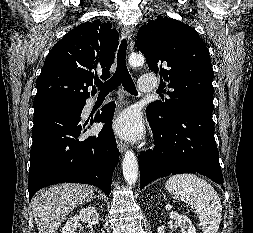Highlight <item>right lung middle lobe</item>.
Returning a JSON list of instances; mask_svg holds the SVG:
<instances>
[{
  "mask_svg": "<svg viewBox=\"0 0 253 233\" xmlns=\"http://www.w3.org/2000/svg\"><path fill=\"white\" fill-rule=\"evenodd\" d=\"M85 101H75V100H67V99H52L48 101H44L38 104H34V109L38 110L40 108H43L48 105L52 104H64V105H73V106H79L83 104Z\"/></svg>",
  "mask_w": 253,
  "mask_h": 233,
  "instance_id": "obj_1",
  "label": "right lung middle lobe"
}]
</instances>
